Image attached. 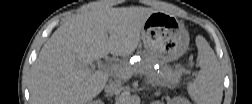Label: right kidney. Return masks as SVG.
<instances>
[{"instance_id": "ca27d5eb", "label": "right kidney", "mask_w": 252, "mask_h": 104, "mask_svg": "<svg viewBox=\"0 0 252 104\" xmlns=\"http://www.w3.org/2000/svg\"><path fill=\"white\" fill-rule=\"evenodd\" d=\"M92 104H103V102L100 101V100L99 101H93Z\"/></svg>"}]
</instances>
